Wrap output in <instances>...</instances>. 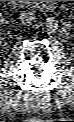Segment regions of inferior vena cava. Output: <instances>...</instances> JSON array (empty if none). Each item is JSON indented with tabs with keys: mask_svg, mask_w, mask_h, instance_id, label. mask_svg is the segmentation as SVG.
Listing matches in <instances>:
<instances>
[{
	"mask_svg": "<svg viewBox=\"0 0 74 122\" xmlns=\"http://www.w3.org/2000/svg\"><path fill=\"white\" fill-rule=\"evenodd\" d=\"M35 15L31 11H23L20 15V20L25 25H32L35 22Z\"/></svg>",
	"mask_w": 74,
	"mask_h": 122,
	"instance_id": "inferior-vena-cava-1",
	"label": "inferior vena cava"
}]
</instances>
